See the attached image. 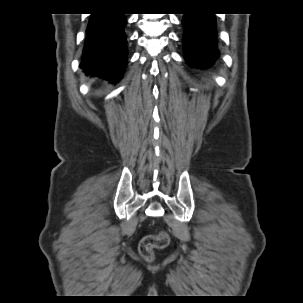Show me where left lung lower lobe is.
I'll use <instances>...</instances> for the list:
<instances>
[{"label": "left lung lower lobe", "mask_w": 303, "mask_h": 303, "mask_svg": "<svg viewBox=\"0 0 303 303\" xmlns=\"http://www.w3.org/2000/svg\"><path fill=\"white\" fill-rule=\"evenodd\" d=\"M183 27L184 56L188 64L201 69L211 67L219 58L214 14H184Z\"/></svg>", "instance_id": "left-lung-lower-lobe-1"}]
</instances>
